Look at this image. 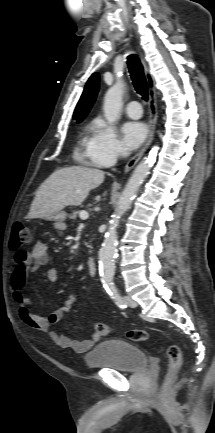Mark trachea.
<instances>
[{"label": "trachea", "instance_id": "3493384b", "mask_svg": "<svg viewBox=\"0 0 215 433\" xmlns=\"http://www.w3.org/2000/svg\"><path fill=\"white\" fill-rule=\"evenodd\" d=\"M127 63L135 90L144 100H148L149 87L139 58L135 54H132L128 56Z\"/></svg>", "mask_w": 215, "mask_h": 433}]
</instances>
